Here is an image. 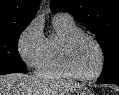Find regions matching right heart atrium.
<instances>
[{
	"label": "right heart atrium",
	"instance_id": "right-heart-atrium-1",
	"mask_svg": "<svg viewBox=\"0 0 119 95\" xmlns=\"http://www.w3.org/2000/svg\"><path fill=\"white\" fill-rule=\"evenodd\" d=\"M46 38L39 20H32L21 32L17 48L23 62L30 68H37L44 50Z\"/></svg>",
	"mask_w": 119,
	"mask_h": 95
}]
</instances>
